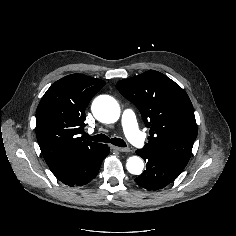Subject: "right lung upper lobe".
Returning <instances> with one entry per match:
<instances>
[{
    "label": "right lung upper lobe",
    "mask_w": 236,
    "mask_h": 236,
    "mask_svg": "<svg viewBox=\"0 0 236 236\" xmlns=\"http://www.w3.org/2000/svg\"><path fill=\"white\" fill-rule=\"evenodd\" d=\"M104 85L103 80L71 74L56 81L42 97L36 110V137L51 171H58L71 153L100 144L78 134L85 126L86 107Z\"/></svg>",
    "instance_id": "obj_1"
}]
</instances>
